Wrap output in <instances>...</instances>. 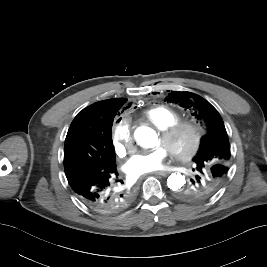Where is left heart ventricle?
Returning <instances> with one entry per match:
<instances>
[{
    "label": "left heart ventricle",
    "mask_w": 267,
    "mask_h": 267,
    "mask_svg": "<svg viewBox=\"0 0 267 267\" xmlns=\"http://www.w3.org/2000/svg\"><path fill=\"white\" fill-rule=\"evenodd\" d=\"M192 134L188 129L181 130L176 136H174L169 142L163 143L160 139V143L169 150V147H174L180 150H185L190 145Z\"/></svg>",
    "instance_id": "obj_1"
}]
</instances>
